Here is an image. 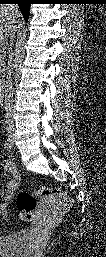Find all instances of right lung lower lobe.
<instances>
[{
    "label": "right lung lower lobe",
    "mask_w": 106,
    "mask_h": 257,
    "mask_svg": "<svg viewBox=\"0 0 106 257\" xmlns=\"http://www.w3.org/2000/svg\"><path fill=\"white\" fill-rule=\"evenodd\" d=\"M0 3L17 4L24 16V19H28L29 6L32 3V0H0Z\"/></svg>",
    "instance_id": "obj_1"
}]
</instances>
